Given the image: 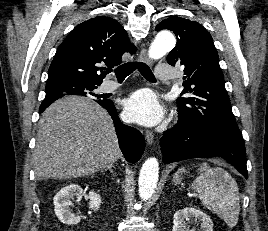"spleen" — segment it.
I'll return each instance as SVG.
<instances>
[{
  "label": "spleen",
  "instance_id": "obj_1",
  "mask_svg": "<svg viewBox=\"0 0 268 231\" xmlns=\"http://www.w3.org/2000/svg\"><path fill=\"white\" fill-rule=\"evenodd\" d=\"M198 166L200 174L191 188L206 208L221 217L228 226L234 227L240 212L239 189L235 179L221 167L210 168L206 162ZM183 172H186L184 167L175 173V184L181 182Z\"/></svg>",
  "mask_w": 268,
  "mask_h": 231
}]
</instances>
